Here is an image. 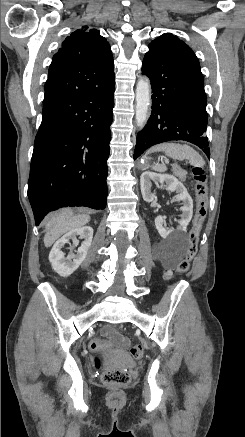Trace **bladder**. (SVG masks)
Here are the masks:
<instances>
[{
    "label": "bladder",
    "instance_id": "bladder-1",
    "mask_svg": "<svg viewBox=\"0 0 245 437\" xmlns=\"http://www.w3.org/2000/svg\"><path fill=\"white\" fill-rule=\"evenodd\" d=\"M110 363L115 367H129L134 364L130 356L124 352L112 351L109 356Z\"/></svg>",
    "mask_w": 245,
    "mask_h": 437
}]
</instances>
